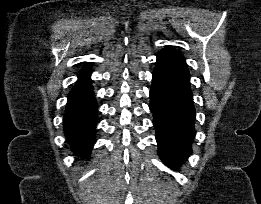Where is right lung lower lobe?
I'll return each instance as SVG.
<instances>
[{"label": "right lung lower lobe", "instance_id": "obj_1", "mask_svg": "<svg viewBox=\"0 0 261 204\" xmlns=\"http://www.w3.org/2000/svg\"><path fill=\"white\" fill-rule=\"evenodd\" d=\"M91 71L85 68L68 94L64 114V131L72 149L81 158L88 159L95 143L97 103L93 94Z\"/></svg>", "mask_w": 261, "mask_h": 204}]
</instances>
